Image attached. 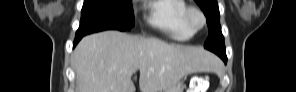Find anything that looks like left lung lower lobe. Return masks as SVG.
Masks as SVG:
<instances>
[{
    "label": "left lung lower lobe",
    "mask_w": 296,
    "mask_h": 92,
    "mask_svg": "<svg viewBox=\"0 0 296 92\" xmlns=\"http://www.w3.org/2000/svg\"><path fill=\"white\" fill-rule=\"evenodd\" d=\"M217 55H219L225 62L227 61V57L225 53H218Z\"/></svg>",
    "instance_id": "obj_1"
}]
</instances>
